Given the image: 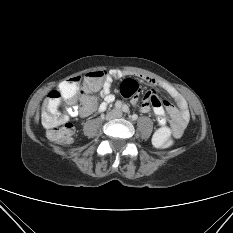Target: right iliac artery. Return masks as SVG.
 <instances>
[{"mask_svg":"<svg viewBox=\"0 0 233 233\" xmlns=\"http://www.w3.org/2000/svg\"><path fill=\"white\" fill-rule=\"evenodd\" d=\"M115 106H116L117 109H120L121 106H122V103H121V102H117V103L115 104Z\"/></svg>","mask_w":233,"mask_h":233,"instance_id":"right-iliac-artery-1","label":"right iliac artery"}]
</instances>
